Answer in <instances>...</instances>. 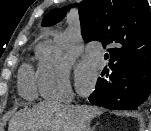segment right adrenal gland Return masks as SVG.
<instances>
[{"label":"right adrenal gland","instance_id":"2a0ac1e0","mask_svg":"<svg viewBox=\"0 0 151 131\" xmlns=\"http://www.w3.org/2000/svg\"><path fill=\"white\" fill-rule=\"evenodd\" d=\"M96 126H97V125L93 126V128L90 129V131H95Z\"/></svg>","mask_w":151,"mask_h":131}]
</instances>
